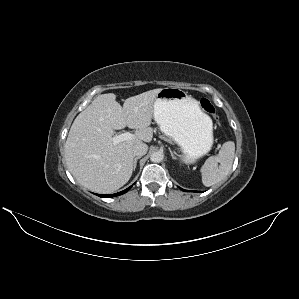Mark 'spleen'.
Instances as JSON below:
<instances>
[{"label":"spleen","mask_w":299,"mask_h":299,"mask_svg":"<svg viewBox=\"0 0 299 299\" xmlns=\"http://www.w3.org/2000/svg\"><path fill=\"white\" fill-rule=\"evenodd\" d=\"M235 143L225 142L216 156L209 157L201 168L202 183L209 187L224 180L231 170Z\"/></svg>","instance_id":"3e777b00"}]
</instances>
